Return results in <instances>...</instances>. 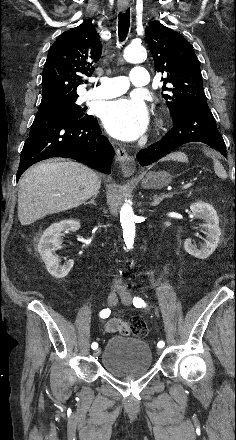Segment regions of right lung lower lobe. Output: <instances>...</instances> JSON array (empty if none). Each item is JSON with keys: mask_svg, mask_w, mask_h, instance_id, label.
<instances>
[{"mask_svg": "<svg viewBox=\"0 0 236 440\" xmlns=\"http://www.w3.org/2000/svg\"><path fill=\"white\" fill-rule=\"evenodd\" d=\"M114 149L91 115L75 118L38 112L21 152L16 180L31 165L51 157L75 159L110 174Z\"/></svg>", "mask_w": 236, "mask_h": 440, "instance_id": "obj_1", "label": "right lung lower lobe"}]
</instances>
